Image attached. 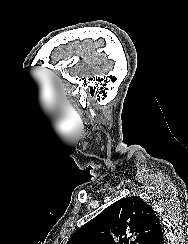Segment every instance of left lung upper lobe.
<instances>
[{
	"mask_svg": "<svg viewBox=\"0 0 188 244\" xmlns=\"http://www.w3.org/2000/svg\"><path fill=\"white\" fill-rule=\"evenodd\" d=\"M158 220L140 197L123 198L83 225L67 244H147Z\"/></svg>",
	"mask_w": 188,
	"mask_h": 244,
	"instance_id": "obj_1",
	"label": "left lung upper lobe"
}]
</instances>
